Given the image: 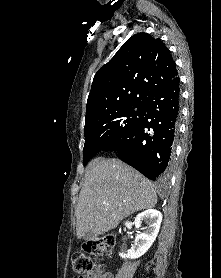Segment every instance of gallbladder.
Here are the masks:
<instances>
[{
  "label": "gallbladder",
  "instance_id": "gallbladder-1",
  "mask_svg": "<svg viewBox=\"0 0 221 278\" xmlns=\"http://www.w3.org/2000/svg\"><path fill=\"white\" fill-rule=\"evenodd\" d=\"M95 238H96V235H95L92 231H88V232L84 235V240H85V241L94 240Z\"/></svg>",
  "mask_w": 221,
  "mask_h": 278
}]
</instances>
